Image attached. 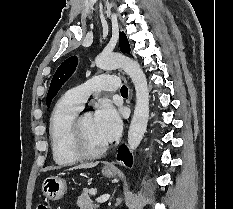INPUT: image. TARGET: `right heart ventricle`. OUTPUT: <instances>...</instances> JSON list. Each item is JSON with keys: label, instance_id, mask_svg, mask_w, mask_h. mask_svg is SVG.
<instances>
[{"label": "right heart ventricle", "instance_id": "obj_1", "mask_svg": "<svg viewBox=\"0 0 233 209\" xmlns=\"http://www.w3.org/2000/svg\"><path fill=\"white\" fill-rule=\"evenodd\" d=\"M79 110L65 95L56 103L51 113L49 141L53 160L59 166H70L80 160L69 145V128Z\"/></svg>", "mask_w": 233, "mask_h": 209}]
</instances>
